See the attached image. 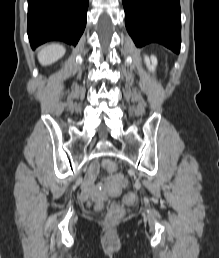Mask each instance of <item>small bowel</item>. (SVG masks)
<instances>
[{"label": "small bowel", "instance_id": "small-bowel-1", "mask_svg": "<svg viewBox=\"0 0 219 258\" xmlns=\"http://www.w3.org/2000/svg\"><path fill=\"white\" fill-rule=\"evenodd\" d=\"M98 171L99 168L97 164L93 165L90 169L89 174L83 184V190L86 195H88L92 191L94 180L96 179ZM112 177L113 179H111L110 182L112 184V187L115 189L119 188L121 184H130L131 182L130 179H123V174H113Z\"/></svg>", "mask_w": 219, "mask_h": 258}]
</instances>
